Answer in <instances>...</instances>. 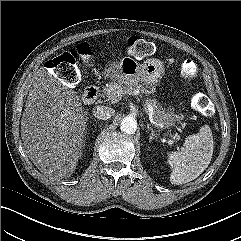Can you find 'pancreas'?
I'll list each match as a JSON object with an SVG mask.
<instances>
[{"label": "pancreas", "instance_id": "pancreas-1", "mask_svg": "<svg viewBox=\"0 0 241 241\" xmlns=\"http://www.w3.org/2000/svg\"><path fill=\"white\" fill-rule=\"evenodd\" d=\"M126 87L118 82H110L107 86L102 89V95L104 98L110 101H118L121 99L123 94L126 93ZM143 92L147 93L145 88L142 89ZM146 105H149L153 110V118L158 123H163L167 126H173L176 122L183 119V115H176L173 112H166L160 103L156 99H147Z\"/></svg>", "mask_w": 241, "mask_h": 241}]
</instances>
